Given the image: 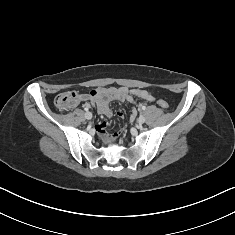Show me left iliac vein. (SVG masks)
<instances>
[{
    "instance_id": "1",
    "label": "left iliac vein",
    "mask_w": 235,
    "mask_h": 235,
    "mask_svg": "<svg viewBox=\"0 0 235 235\" xmlns=\"http://www.w3.org/2000/svg\"><path fill=\"white\" fill-rule=\"evenodd\" d=\"M138 123L139 124H143L145 122V117L143 115H141L139 118H138Z\"/></svg>"
}]
</instances>
